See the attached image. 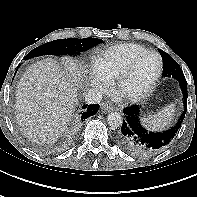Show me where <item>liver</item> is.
I'll list each match as a JSON object with an SVG mask.
<instances>
[{
  "instance_id": "liver-1",
  "label": "liver",
  "mask_w": 197,
  "mask_h": 197,
  "mask_svg": "<svg viewBox=\"0 0 197 197\" xmlns=\"http://www.w3.org/2000/svg\"><path fill=\"white\" fill-rule=\"evenodd\" d=\"M32 64L17 84L16 119L24 134L37 143H53L65 131L78 102L83 67L64 58Z\"/></svg>"
}]
</instances>
